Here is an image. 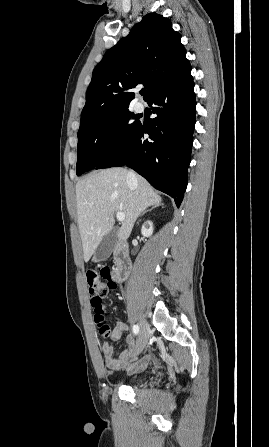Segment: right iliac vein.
<instances>
[{
	"mask_svg": "<svg viewBox=\"0 0 269 447\" xmlns=\"http://www.w3.org/2000/svg\"><path fill=\"white\" fill-rule=\"evenodd\" d=\"M149 328L150 327L146 321L140 322V332L134 349V356L140 354L144 350L149 337Z\"/></svg>",
	"mask_w": 269,
	"mask_h": 447,
	"instance_id": "1",
	"label": "right iliac vein"
}]
</instances>
